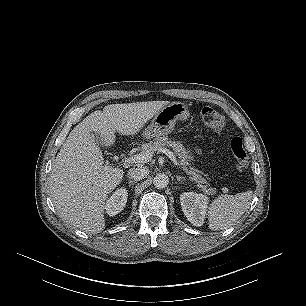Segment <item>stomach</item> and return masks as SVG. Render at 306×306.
<instances>
[{
  "instance_id": "0dacf381",
  "label": "stomach",
  "mask_w": 306,
  "mask_h": 306,
  "mask_svg": "<svg viewBox=\"0 0 306 306\" xmlns=\"http://www.w3.org/2000/svg\"><path fill=\"white\" fill-rule=\"evenodd\" d=\"M189 115L186 104L172 102L157 112L151 124L144 129L143 136L150 139L168 135L174 130L177 121H184Z\"/></svg>"
}]
</instances>
